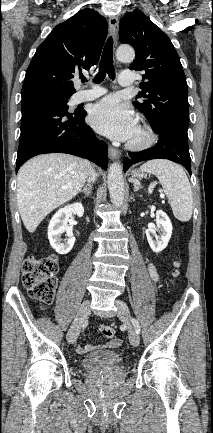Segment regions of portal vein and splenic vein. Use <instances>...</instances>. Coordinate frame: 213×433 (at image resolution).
<instances>
[{"mask_svg":"<svg viewBox=\"0 0 213 433\" xmlns=\"http://www.w3.org/2000/svg\"><path fill=\"white\" fill-rule=\"evenodd\" d=\"M152 192V190L151 189H149V193H151ZM164 196L163 195H161V198H163Z\"/></svg>","mask_w":213,"mask_h":433,"instance_id":"obj_1","label":"portal vein and splenic vein"}]
</instances>
